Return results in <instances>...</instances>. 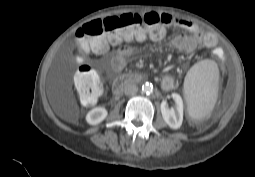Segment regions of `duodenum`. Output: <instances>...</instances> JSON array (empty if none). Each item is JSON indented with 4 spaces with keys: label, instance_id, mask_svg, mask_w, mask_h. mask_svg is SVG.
Returning <instances> with one entry per match:
<instances>
[{
    "label": "duodenum",
    "instance_id": "1",
    "mask_svg": "<svg viewBox=\"0 0 255 177\" xmlns=\"http://www.w3.org/2000/svg\"><path fill=\"white\" fill-rule=\"evenodd\" d=\"M142 80V76L139 74H125L117 77L113 84L112 89L114 93L119 94L122 89L132 83H137Z\"/></svg>",
    "mask_w": 255,
    "mask_h": 177
}]
</instances>
